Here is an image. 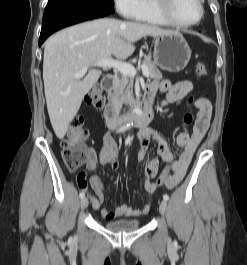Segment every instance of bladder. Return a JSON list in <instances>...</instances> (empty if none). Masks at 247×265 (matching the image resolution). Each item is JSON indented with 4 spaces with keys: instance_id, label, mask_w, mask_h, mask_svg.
Returning <instances> with one entry per match:
<instances>
[{
    "instance_id": "obj_1",
    "label": "bladder",
    "mask_w": 247,
    "mask_h": 265,
    "mask_svg": "<svg viewBox=\"0 0 247 265\" xmlns=\"http://www.w3.org/2000/svg\"><path fill=\"white\" fill-rule=\"evenodd\" d=\"M141 226V222L137 219H121L115 221H108L104 223V227L116 233H126L138 229Z\"/></svg>"
}]
</instances>
